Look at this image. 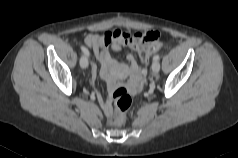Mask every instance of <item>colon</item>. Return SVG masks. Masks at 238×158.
I'll list each match as a JSON object with an SVG mask.
<instances>
[{"label": "colon", "mask_w": 238, "mask_h": 158, "mask_svg": "<svg viewBox=\"0 0 238 158\" xmlns=\"http://www.w3.org/2000/svg\"><path fill=\"white\" fill-rule=\"evenodd\" d=\"M145 38L150 42V45L139 52L142 63H148L150 56L160 49L158 34H148ZM112 100V107L108 113V123L112 126H120L125 122L126 113L132 105V98L126 88L119 86L113 90Z\"/></svg>", "instance_id": "5ec220e1"}]
</instances>
